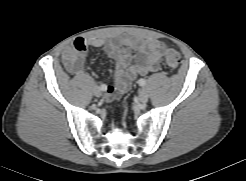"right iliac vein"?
Listing matches in <instances>:
<instances>
[{
  "mask_svg": "<svg viewBox=\"0 0 246 181\" xmlns=\"http://www.w3.org/2000/svg\"><path fill=\"white\" fill-rule=\"evenodd\" d=\"M94 95H95L96 97H100V96L102 95L101 89H100V88H95V89H94Z\"/></svg>",
  "mask_w": 246,
  "mask_h": 181,
  "instance_id": "right-iliac-vein-1",
  "label": "right iliac vein"
}]
</instances>
